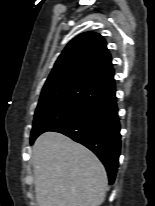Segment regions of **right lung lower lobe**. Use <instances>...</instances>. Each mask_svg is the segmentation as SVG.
Segmentation results:
<instances>
[{"label": "right lung lower lobe", "instance_id": "1", "mask_svg": "<svg viewBox=\"0 0 155 206\" xmlns=\"http://www.w3.org/2000/svg\"><path fill=\"white\" fill-rule=\"evenodd\" d=\"M50 131L65 134L93 151L107 170L109 184L114 183L121 146L115 90Z\"/></svg>", "mask_w": 155, "mask_h": 206}]
</instances>
